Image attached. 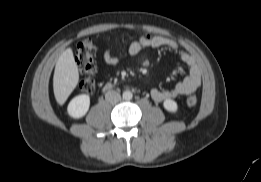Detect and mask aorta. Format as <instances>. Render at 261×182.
Here are the masks:
<instances>
[{"label": "aorta", "instance_id": "762f6f07", "mask_svg": "<svg viewBox=\"0 0 261 182\" xmlns=\"http://www.w3.org/2000/svg\"><path fill=\"white\" fill-rule=\"evenodd\" d=\"M122 96H123V99H124V100H131L132 97H133V94H132L131 91L126 90V91L123 92V95H122Z\"/></svg>", "mask_w": 261, "mask_h": 182}]
</instances>
